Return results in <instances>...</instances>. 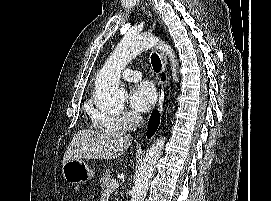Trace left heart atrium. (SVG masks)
I'll return each instance as SVG.
<instances>
[{"instance_id":"39dd6f15","label":"left heart atrium","mask_w":271,"mask_h":201,"mask_svg":"<svg viewBox=\"0 0 271 201\" xmlns=\"http://www.w3.org/2000/svg\"><path fill=\"white\" fill-rule=\"evenodd\" d=\"M157 94L154 86L149 82H142L133 86L130 92V105L139 112L149 111L155 104Z\"/></svg>"}]
</instances>
